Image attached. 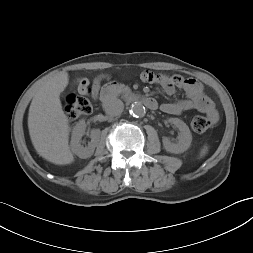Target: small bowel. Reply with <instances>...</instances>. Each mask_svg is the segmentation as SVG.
<instances>
[{
	"instance_id": "obj_1",
	"label": "small bowel",
	"mask_w": 253,
	"mask_h": 253,
	"mask_svg": "<svg viewBox=\"0 0 253 253\" xmlns=\"http://www.w3.org/2000/svg\"><path fill=\"white\" fill-rule=\"evenodd\" d=\"M142 81L158 83L163 90L171 95L176 89H182L186 98L176 102H165L161 110L170 115H179L184 111L197 110L207 115L211 124L218 120V113L214 102L204 92L202 83L194 78H184L180 75H167L165 73H153L145 71L140 75ZM105 77L98 76L90 82L87 78H79L76 81L80 94L91 93L97 98Z\"/></svg>"
}]
</instances>
